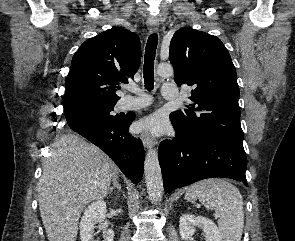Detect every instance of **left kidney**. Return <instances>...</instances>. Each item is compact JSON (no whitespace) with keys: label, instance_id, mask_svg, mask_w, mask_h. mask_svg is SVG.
Here are the masks:
<instances>
[{"label":"left kidney","instance_id":"left-kidney-1","mask_svg":"<svg viewBox=\"0 0 295 241\" xmlns=\"http://www.w3.org/2000/svg\"><path fill=\"white\" fill-rule=\"evenodd\" d=\"M196 227L206 234V241H223L216 224L203 216L183 214L179 221L180 236L183 240H192Z\"/></svg>","mask_w":295,"mask_h":241}]
</instances>
